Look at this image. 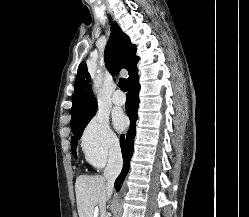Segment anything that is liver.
Masks as SVG:
<instances>
[{
  "label": "liver",
  "instance_id": "1",
  "mask_svg": "<svg viewBox=\"0 0 249 217\" xmlns=\"http://www.w3.org/2000/svg\"><path fill=\"white\" fill-rule=\"evenodd\" d=\"M76 202L79 217H94L99 206L101 217H106L107 184L100 175H80L75 182Z\"/></svg>",
  "mask_w": 249,
  "mask_h": 217
}]
</instances>
